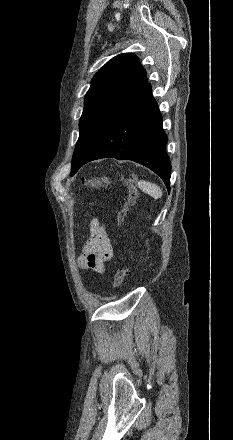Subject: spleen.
<instances>
[{
	"label": "spleen",
	"mask_w": 233,
	"mask_h": 440,
	"mask_svg": "<svg viewBox=\"0 0 233 440\" xmlns=\"http://www.w3.org/2000/svg\"><path fill=\"white\" fill-rule=\"evenodd\" d=\"M138 187L154 199H159L162 197V190L159 186L149 181L140 180L138 182Z\"/></svg>",
	"instance_id": "spleen-1"
}]
</instances>
